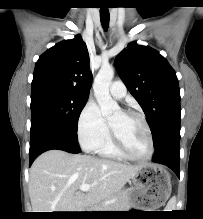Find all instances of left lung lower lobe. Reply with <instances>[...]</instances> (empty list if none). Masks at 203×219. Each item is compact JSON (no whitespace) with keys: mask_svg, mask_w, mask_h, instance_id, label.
Segmentation results:
<instances>
[{"mask_svg":"<svg viewBox=\"0 0 203 219\" xmlns=\"http://www.w3.org/2000/svg\"><path fill=\"white\" fill-rule=\"evenodd\" d=\"M180 131L170 134L161 145L155 148L152 161L161 163L171 168L179 177L180 165Z\"/></svg>","mask_w":203,"mask_h":219,"instance_id":"obj_1","label":"left lung lower lobe"}]
</instances>
